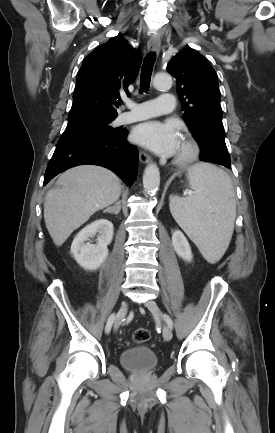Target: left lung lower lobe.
Wrapping results in <instances>:
<instances>
[{"instance_id":"1","label":"left lung lower lobe","mask_w":275,"mask_h":433,"mask_svg":"<svg viewBox=\"0 0 275 433\" xmlns=\"http://www.w3.org/2000/svg\"><path fill=\"white\" fill-rule=\"evenodd\" d=\"M223 166H225V167H227V168H230L231 163H225Z\"/></svg>"}]
</instances>
